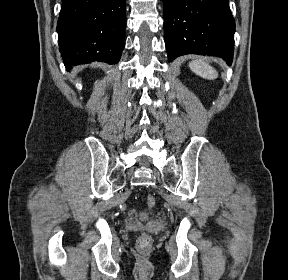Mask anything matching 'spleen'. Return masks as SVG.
Masks as SVG:
<instances>
[{"label":"spleen","instance_id":"obj_1","mask_svg":"<svg viewBox=\"0 0 288 280\" xmlns=\"http://www.w3.org/2000/svg\"><path fill=\"white\" fill-rule=\"evenodd\" d=\"M189 67L193 72L205 79L213 80L218 77V72L203 60L192 61L189 63Z\"/></svg>","mask_w":288,"mask_h":280}]
</instances>
